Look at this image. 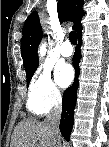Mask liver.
<instances>
[{"label":"liver","mask_w":109,"mask_h":147,"mask_svg":"<svg viewBox=\"0 0 109 147\" xmlns=\"http://www.w3.org/2000/svg\"><path fill=\"white\" fill-rule=\"evenodd\" d=\"M10 147H53L48 126L34 119L20 121L13 131Z\"/></svg>","instance_id":"obj_1"}]
</instances>
